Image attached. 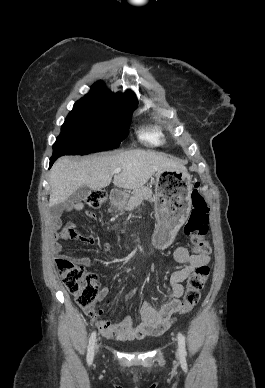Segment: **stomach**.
Masks as SVG:
<instances>
[{"instance_id": "stomach-1", "label": "stomach", "mask_w": 265, "mask_h": 388, "mask_svg": "<svg viewBox=\"0 0 265 388\" xmlns=\"http://www.w3.org/2000/svg\"><path fill=\"white\" fill-rule=\"evenodd\" d=\"M192 184L182 169H164L155 174V214L158 229L155 241L159 248L169 246L191 210Z\"/></svg>"}]
</instances>
